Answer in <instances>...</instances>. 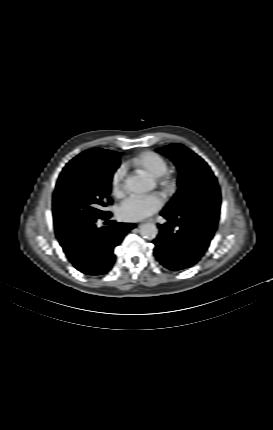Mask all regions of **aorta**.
Returning a JSON list of instances; mask_svg holds the SVG:
<instances>
[{
  "mask_svg": "<svg viewBox=\"0 0 273 430\" xmlns=\"http://www.w3.org/2000/svg\"><path fill=\"white\" fill-rule=\"evenodd\" d=\"M154 186L155 183L153 180L143 176H130L126 179L127 189L137 195H142L144 193L149 192L154 188ZM140 233L144 238L152 240L156 238L158 234V229L156 225L146 223L141 225Z\"/></svg>",
  "mask_w": 273,
  "mask_h": 430,
  "instance_id": "aorta-1",
  "label": "aorta"
}]
</instances>
